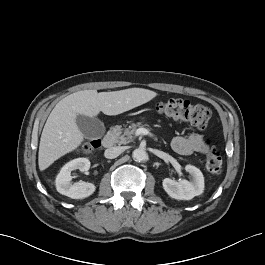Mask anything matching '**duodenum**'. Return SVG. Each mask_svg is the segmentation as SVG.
I'll return each mask as SVG.
<instances>
[{
    "mask_svg": "<svg viewBox=\"0 0 265 265\" xmlns=\"http://www.w3.org/2000/svg\"><path fill=\"white\" fill-rule=\"evenodd\" d=\"M118 136V131L116 128H112L109 133H107L103 140H102V144L105 148H111L112 146H114L116 139Z\"/></svg>",
    "mask_w": 265,
    "mask_h": 265,
    "instance_id": "duodenum-1",
    "label": "duodenum"
}]
</instances>
